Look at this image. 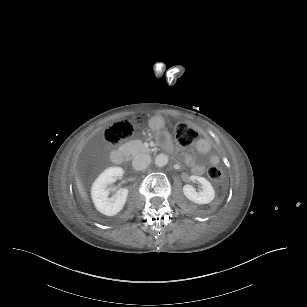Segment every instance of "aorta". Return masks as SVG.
Wrapping results in <instances>:
<instances>
[{"mask_svg":"<svg viewBox=\"0 0 307 307\" xmlns=\"http://www.w3.org/2000/svg\"><path fill=\"white\" fill-rule=\"evenodd\" d=\"M168 163V157L165 154H159L155 158V164L159 167H163Z\"/></svg>","mask_w":307,"mask_h":307,"instance_id":"obj_1","label":"aorta"}]
</instances>
